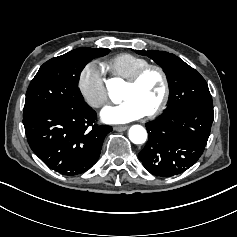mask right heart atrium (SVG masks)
<instances>
[{"mask_svg": "<svg viewBox=\"0 0 237 237\" xmlns=\"http://www.w3.org/2000/svg\"><path fill=\"white\" fill-rule=\"evenodd\" d=\"M78 87L86 103L93 108H100L109 100L105 75L95 61L87 63L81 69Z\"/></svg>", "mask_w": 237, "mask_h": 237, "instance_id": "d8ad5b80", "label": "right heart atrium"}]
</instances>
